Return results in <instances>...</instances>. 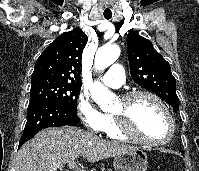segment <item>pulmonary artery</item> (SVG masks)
I'll list each match as a JSON object with an SVG mask.
<instances>
[{"label": "pulmonary artery", "instance_id": "e3ab8cb5", "mask_svg": "<svg viewBox=\"0 0 199 171\" xmlns=\"http://www.w3.org/2000/svg\"><path fill=\"white\" fill-rule=\"evenodd\" d=\"M124 69L120 64H113L102 77V82L109 87L119 88L124 83Z\"/></svg>", "mask_w": 199, "mask_h": 171}]
</instances>
